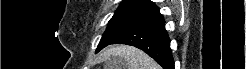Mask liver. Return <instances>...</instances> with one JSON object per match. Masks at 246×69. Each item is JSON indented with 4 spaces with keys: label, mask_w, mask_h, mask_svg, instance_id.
<instances>
[{
    "label": "liver",
    "mask_w": 246,
    "mask_h": 69,
    "mask_svg": "<svg viewBox=\"0 0 246 69\" xmlns=\"http://www.w3.org/2000/svg\"><path fill=\"white\" fill-rule=\"evenodd\" d=\"M119 57L117 69H160V66L143 51L127 45H117L102 54V60Z\"/></svg>",
    "instance_id": "6515ba94"
}]
</instances>
